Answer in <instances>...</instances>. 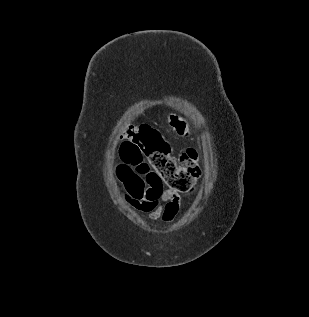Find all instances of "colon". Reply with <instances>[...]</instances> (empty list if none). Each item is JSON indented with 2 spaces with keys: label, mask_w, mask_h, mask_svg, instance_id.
Listing matches in <instances>:
<instances>
[{
  "label": "colon",
  "mask_w": 309,
  "mask_h": 317,
  "mask_svg": "<svg viewBox=\"0 0 309 317\" xmlns=\"http://www.w3.org/2000/svg\"><path fill=\"white\" fill-rule=\"evenodd\" d=\"M172 124L179 132L185 129V122L176 116L172 118ZM124 138L126 140L120 148L123 157L131 163H138L146 157L160 182L172 191L186 193L199 179L201 170L195 149L189 148L174 158L160 132L147 124L129 126Z\"/></svg>",
  "instance_id": "5ec220e1"
}]
</instances>
